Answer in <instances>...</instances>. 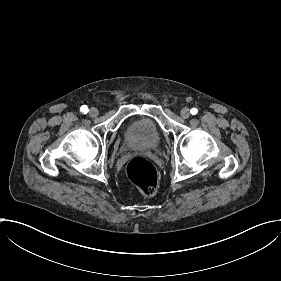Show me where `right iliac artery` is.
<instances>
[{
  "instance_id": "obj_1",
  "label": "right iliac artery",
  "mask_w": 281,
  "mask_h": 281,
  "mask_svg": "<svg viewBox=\"0 0 281 281\" xmlns=\"http://www.w3.org/2000/svg\"><path fill=\"white\" fill-rule=\"evenodd\" d=\"M80 111L83 112L84 114H86L89 111V109H88L87 105H82L80 108Z\"/></svg>"
}]
</instances>
